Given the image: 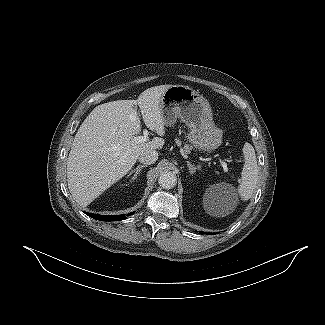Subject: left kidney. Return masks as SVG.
Here are the masks:
<instances>
[{
	"mask_svg": "<svg viewBox=\"0 0 325 325\" xmlns=\"http://www.w3.org/2000/svg\"><path fill=\"white\" fill-rule=\"evenodd\" d=\"M227 186L225 184H216L210 186L205 193L206 203H219L223 201Z\"/></svg>",
	"mask_w": 325,
	"mask_h": 325,
	"instance_id": "5707ae66",
	"label": "left kidney"
}]
</instances>
